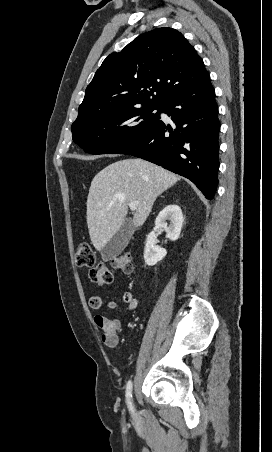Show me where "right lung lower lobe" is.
<instances>
[{
    "instance_id": "right-lung-lower-lobe-1",
    "label": "right lung lower lobe",
    "mask_w": 272,
    "mask_h": 452,
    "mask_svg": "<svg viewBox=\"0 0 272 452\" xmlns=\"http://www.w3.org/2000/svg\"><path fill=\"white\" fill-rule=\"evenodd\" d=\"M159 120L119 154L132 155L191 180L209 200L218 184L220 123L210 77L161 106Z\"/></svg>"
}]
</instances>
